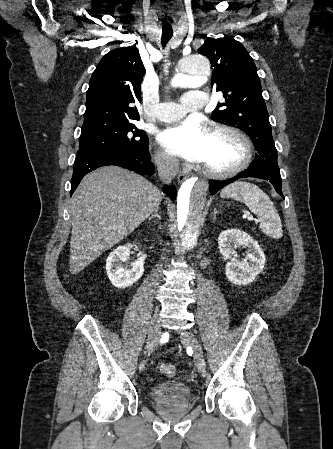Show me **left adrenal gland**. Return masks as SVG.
Returning a JSON list of instances; mask_svg holds the SVG:
<instances>
[{
    "label": "left adrenal gland",
    "mask_w": 333,
    "mask_h": 449,
    "mask_svg": "<svg viewBox=\"0 0 333 449\" xmlns=\"http://www.w3.org/2000/svg\"><path fill=\"white\" fill-rule=\"evenodd\" d=\"M217 214H219V211H218L216 208H214V212H213V221L216 220V215H217Z\"/></svg>",
    "instance_id": "left-adrenal-gland-1"
}]
</instances>
